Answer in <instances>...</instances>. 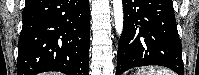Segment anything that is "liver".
<instances>
[{
    "label": "liver",
    "instance_id": "6515ba94",
    "mask_svg": "<svg viewBox=\"0 0 199 75\" xmlns=\"http://www.w3.org/2000/svg\"><path fill=\"white\" fill-rule=\"evenodd\" d=\"M49 75H58V73H49Z\"/></svg>",
    "mask_w": 199,
    "mask_h": 75
}]
</instances>
